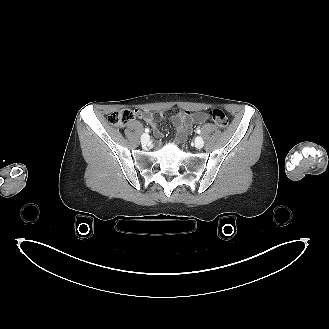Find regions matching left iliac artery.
Instances as JSON below:
<instances>
[{
  "label": "left iliac artery",
  "mask_w": 329,
  "mask_h": 329,
  "mask_svg": "<svg viewBox=\"0 0 329 329\" xmlns=\"http://www.w3.org/2000/svg\"><path fill=\"white\" fill-rule=\"evenodd\" d=\"M196 132H197L198 134H200V133H201V130H200V129H197Z\"/></svg>",
  "instance_id": "44dca946"
}]
</instances>
